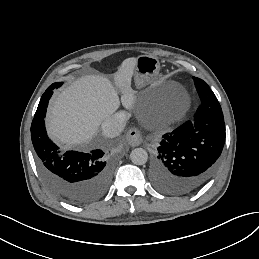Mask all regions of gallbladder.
<instances>
[{
	"instance_id": "bac80fb5",
	"label": "gallbladder",
	"mask_w": 259,
	"mask_h": 259,
	"mask_svg": "<svg viewBox=\"0 0 259 259\" xmlns=\"http://www.w3.org/2000/svg\"><path fill=\"white\" fill-rule=\"evenodd\" d=\"M139 103H140V105H146L145 97H143Z\"/></svg>"
}]
</instances>
